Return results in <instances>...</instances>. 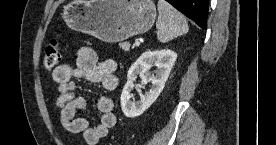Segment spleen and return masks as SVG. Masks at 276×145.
Listing matches in <instances>:
<instances>
[{
  "mask_svg": "<svg viewBox=\"0 0 276 145\" xmlns=\"http://www.w3.org/2000/svg\"><path fill=\"white\" fill-rule=\"evenodd\" d=\"M157 37L160 42H168L186 34L189 30L186 18L165 0L158 1Z\"/></svg>",
  "mask_w": 276,
  "mask_h": 145,
  "instance_id": "1",
  "label": "spleen"
}]
</instances>
